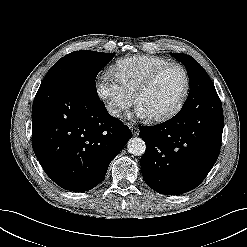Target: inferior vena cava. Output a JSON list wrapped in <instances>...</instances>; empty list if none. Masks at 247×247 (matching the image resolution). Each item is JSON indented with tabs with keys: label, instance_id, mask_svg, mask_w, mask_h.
Listing matches in <instances>:
<instances>
[{
	"label": "inferior vena cava",
	"instance_id": "1",
	"mask_svg": "<svg viewBox=\"0 0 247 247\" xmlns=\"http://www.w3.org/2000/svg\"><path fill=\"white\" fill-rule=\"evenodd\" d=\"M107 110H108V112L111 114V115H119L120 114V112H121V109L120 108H118L117 106H115V105H108L107 106Z\"/></svg>",
	"mask_w": 247,
	"mask_h": 247
}]
</instances>
